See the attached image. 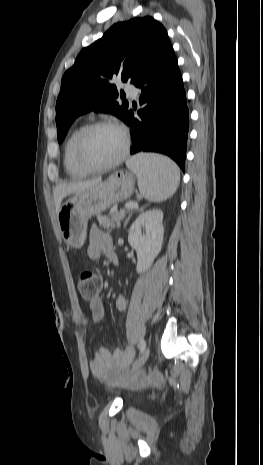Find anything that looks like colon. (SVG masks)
<instances>
[{
  "instance_id": "5ec220e1",
  "label": "colon",
  "mask_w": 263,
  "mask_h": 465,
  "mask_svg": "<svg viewBox=\"0 0 263 465\" xmlns=\"http://www.w3.org/2000/svg\"><path fill=\"white\" fill-rule=\"evenodd\" d=\"M102 289L101 278L92 272H83L78 279V290L86 301L94 300Z\"/></svg>"
}]
</instances>
